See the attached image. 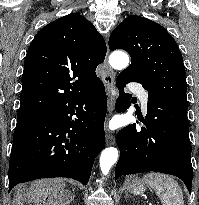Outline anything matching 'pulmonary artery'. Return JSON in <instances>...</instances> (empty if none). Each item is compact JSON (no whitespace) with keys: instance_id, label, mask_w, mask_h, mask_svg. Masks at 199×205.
Segmentation results:
<instances>
[{"instance_id":"pulmonary-artery-1","label":"pulmonary artery","mask_w":199,"mask_h":205,"mask_svg":"<svg viewBox=\"0 0 199 205\" xmlns=\"http://www.w3.org/2000/svg\"><path fill=\"white\" fill-rule=\"evenodd\" d=\"M134 92L138 95L140 102H141V106L143 111L147 110V103H148V95L146 93V91L142 88H133Z\"/></svg>"}]
</instances>
